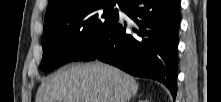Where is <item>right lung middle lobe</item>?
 Masks as SVG:
<instances>
[{"mask_svg":"<svg viewBox=\"0 0 221 102\" xmlns=\"http://www.w3.org/2000/svg\"><path fill=\"white\" fill-rule=\"evenodd\" d=\"M117 0L74 1L45 21L42 38V71L74 58L101 37L118 19Z\"/></svg>","mask_w":221,"mask_h":102,"instance_id":"1","label":"right lung middle lobe"}]
</instances>
